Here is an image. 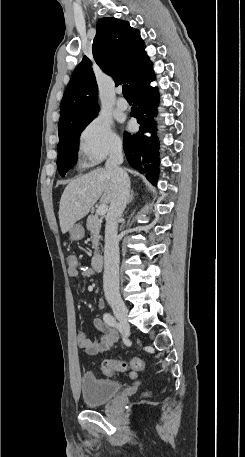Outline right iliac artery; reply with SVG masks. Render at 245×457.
Listing matches in <instances>:
<instances>
[{"instance_id":"82829eb1","label":"right iliac artery","mask_w":245,"mask_h":457,"mask_svg":"<svg viewBox=\"0 0 245 457\" xmlns=\"http://www.w3.org/2000/svg\"><path fill=\"white\" fill-rule=\"evenodd\" d=\"M103 319H104L105 323L108 324L109 326L116 327L117 322L113 315H111L109 313H105L103 316Z\"/></svg>"}]
</instances>
